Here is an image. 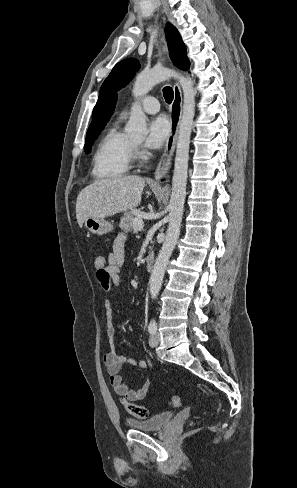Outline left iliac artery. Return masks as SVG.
<instances>
[{
    "label": "left iliac artery",
    "mask_w": 297,
    "mask_h": 488,
    "mask_svg": "<svg viewBox=\"0 0 297 488\" xmlns=\"http://www.w3.org/2000/svg\"><path fill=\"white\" fill-rule=\"evenodd\" d=\"M157 330V323L154 319H152L149 323V326H148V331L151 335H153Z\"/></svg>",
    "instance_id": "44dca946"
}]
</instances>
